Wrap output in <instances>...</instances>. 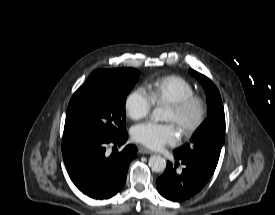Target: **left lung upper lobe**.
I'll use <instances>...</instances> for the list:
<instances>
[{
	"mask_svg": "<svg viewBox=\"0 0 275 215\" xmlns=\"http://www.w3.org/2000/svg\"><path fill=\"white\" fill-rule=\"evenodd\" d=\"M202 84L208 104V118L193 133L189 143L174 151L182 159H191L216 168L225 139V114L217 87L206 76L190 69Z\"/></svg>",
	"mask_w": 275,
	"mask_h": 215,
	"instance_id": "5c2ea615",
	"label": "left lung upper lobe"
}]
</instances>
